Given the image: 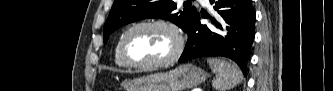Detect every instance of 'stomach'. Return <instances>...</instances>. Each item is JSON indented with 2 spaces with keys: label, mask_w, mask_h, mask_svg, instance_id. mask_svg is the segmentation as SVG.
Wrapping results in <instances>:
<instances>
[{
  "label": "stomach",
  "mask_w": 333,
  "mask_h": 91,
  "mask_svg": "<svg viewBox=\"0 0 333 91\" xmlns=\"http://www.w3.org/2000/svg\"><path fill=\"white\" fill-rule=\"evenodd\" d=\"M207 74L193 64H183L169 72L154 73L123 83L126 91H184L204 82Z\"/></svg>",
  "instance_id": "0dacf381"
}]
</instances>
